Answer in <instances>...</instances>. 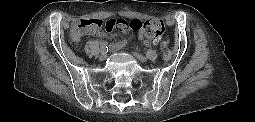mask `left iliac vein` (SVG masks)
Returning <instances> with one entry per match:
<instances>
[{"label": "left iliac vein", "mask_w": 255, "mask_h": 122, "mask_svg": "<svg viewBox=\"0 0 255 122\" xmlns=\"http://www.w3.org/2000/svg\"><path fill=\"white\" fill-rule=\"evenodd\" d=\"M135 56L137 57L138 60H140L143 63H146L148 61V59L141 54L135 53Z\"/></svg>", "instance_id": "obj_1"}]
</instances>
